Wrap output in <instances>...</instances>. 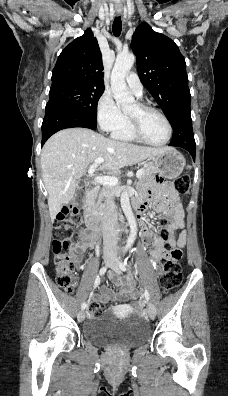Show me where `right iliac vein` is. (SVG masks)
Masks as SVG:
<instances>
[{
	"mask_svg": "<svg viewBox=\"0 0 228 396\" xmlns=\"http://www.w3.org/2000/svg\"><path fill=\"white\" fill-rule=\"evenodd\" d=\"M104 263L106 266H110L112 264V255L111 254H107L104 256ZM78 321L82 322L85 319V312L83 310H81L78 315H77Z\"/></svg>",
	"mask_w": 228,
	"mask_h": 396,
	"instance_id": "63e3f726",
	"label": "right iliac vein"
}]
</instances>
